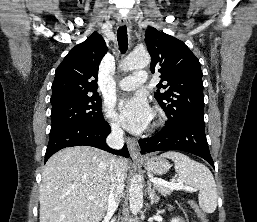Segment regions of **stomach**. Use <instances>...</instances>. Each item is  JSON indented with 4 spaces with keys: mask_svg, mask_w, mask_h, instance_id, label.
Instances as JSON below:
<instances>
[{
    "mask_svg": "<svg viewBox=\"0 0 257 222\" xmlns=\"http://www.w3.org/2000/svg\"><path fill=\"white\" fill-rule=\"evenodd\" d=\"M145 169L155 175H163L169 170V162L163 157H151L144 163Z\"/></svg>",
    "mask_w": 257,
    "mask_h": 222,
    "instance_id": "stomach-1",
    "label": "stomach"
}]
</instances>
